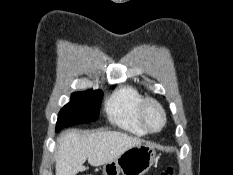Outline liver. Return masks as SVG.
Here are the masks:
<instances>
[{
	"label": "liver",
	"mask_w": 233,
	"mask_h": 175,
	"mask_svg": "<svg viewBox=\"0 0 233 175\" xmlns=\"http://www.w3.org/2000/svg\"><path fill=\"white\" fill-rule=\"evenodd\" d=\"M57 143L56 175H76L86 170V160L94 167L101 166L140 145L142 140L116 131L68 130L57 138Z\"/></svg>",
	"instance_id": "liver-1"
}]
</instances>
